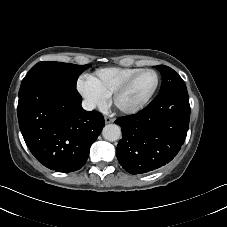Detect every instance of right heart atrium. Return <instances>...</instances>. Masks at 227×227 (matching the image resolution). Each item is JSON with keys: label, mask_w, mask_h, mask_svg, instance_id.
Wrapping results in <instances>:
<instances>
[{"label": "right heart atrium", "mask_w": 227, "mask_h": 227, "mask_svg": "<svg viewBox=\"0 0 227 227\" xmlns=\"http://www.w3.org/2000/svg\"><path fill=\"white\" fill-rule=\"evenodd\" d=\"M78 90L91 107L102 109L108 102L109 96L100 91L88 78L79 81Z\"/></svg>", "instance_id": "d8ad5b80"}]
</instances>
